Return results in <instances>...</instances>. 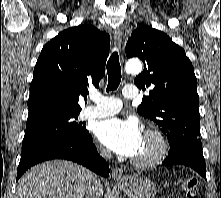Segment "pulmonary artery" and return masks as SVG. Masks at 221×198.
I'll list each match as a JSON object with an SVG mask.
<instances>
[{"label":"pulmonary artery","instance_id":"obj_1","mask_svg":"<svg viewBox=\"0 0 221 198\" xmlns=\"http://www.w3.org/2000/svg\"><path fill=\"white\" fill-rule=\"evenodd\" d=\"M123 96L127 99H133L137 96V90L132 85H126L123 88ZM90 100L94 105L85 107L81 116L85 119L103 118L111 116L119 112L122 107V102L116 97L104 96L99 93H92Z\"/></svg>","mask_w":221,"mask_h":198}]
</instances>
